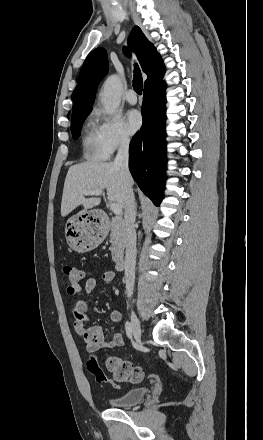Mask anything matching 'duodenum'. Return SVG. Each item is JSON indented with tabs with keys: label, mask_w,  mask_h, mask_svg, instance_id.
Here are the masks:
<instances>
[{
	"label": "duodenum",
	"mask_w": 263,
	"mask_h": 440,
	"mask_svg": "<svg viewBox=\"0 0 263 440\" xmlns=\"http://www.w3.org/2000/svg\"><path fill=\"white\" fill-rule=\"evenodd\" d=\"M98 221H101L102 218L97 217ZM126 264V257L124 254L120 255L115 263V268L117 271H122Z\"/></svg>",
	"instance_id": "410a0bca"
}]
</instances>
